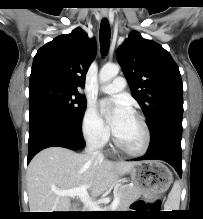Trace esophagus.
Wrapping results in <instances>:
<instances>
[{"label": "esophagus", "instance_id": "obj_1", "mask_svg": "<svg viewBox=\"0 0 203 219\" xmlns=\"http://www.w3.org/2000/svg\"><path fill=\"white\" fill-rule=\"evenodd\" d=\"M102 15H103L104 17H106V16H107V13H106V12H102Z\"/></svg>", "mask_w": 203, "mask_h": 219}]
</instances>
